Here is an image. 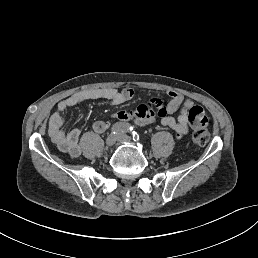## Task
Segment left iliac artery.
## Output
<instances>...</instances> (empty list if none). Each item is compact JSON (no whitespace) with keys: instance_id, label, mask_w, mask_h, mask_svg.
<instances>
[{"instance_id":"obj_1","label":"left iliac artery","mask_w":258,"mask_h":258,"mask_svg":"<svg viewBox=\"0 0 258 258\" xmlns=\"http://www.w3.org/2000/svg\"><path fill=\"white\" fill-rule=\"evenodd\" d=\"M132 138H133V141L134 142H136V143H138L139 142V135H138V133L136 132V131H133L132 132Z\"/></svg>"}]
</instances>
